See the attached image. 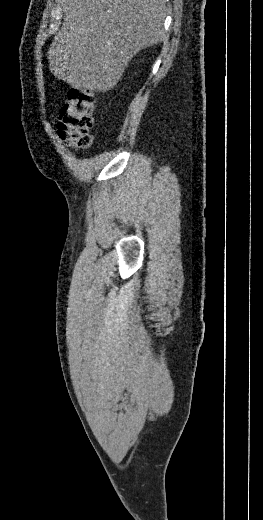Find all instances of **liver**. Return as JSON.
<instances>
[{"label": "liver", "mask_w": 263, "mask_h": 520, "mask_svg": "<svg viewBox=\"0 0 263 520\" xmlns=\"http://www.w3.org/2000/svg\"><path fill=\"white\" fill-rule=\"evenodd\" d=\"M63 26L48 51L55 77L76 89L106 92L128 62L165 36L164 0H64Z\"/></svg>", "instance_id": "obj_1"}]
</instances>
